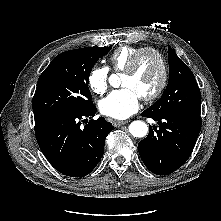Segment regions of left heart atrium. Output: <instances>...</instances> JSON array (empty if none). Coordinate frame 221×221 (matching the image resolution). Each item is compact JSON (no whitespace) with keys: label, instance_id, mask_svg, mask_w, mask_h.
Listing matches in <instances>:
<instances>
[{"label":"left heart atrium","instance_id":"obj_1","mask_svg":"<svg viewBox=\"0 0 221 221\" xmlns=\"http://www.w3.org/2000/svg\"><path fill=\"white\" fill-rule=\"evenodd\" d=\"M140 96L130 87L112 91L99 103L100 112L114 119H126L139 108Z\"/></svg>","mask_w":221,"mask_h":221}]
</instances>
